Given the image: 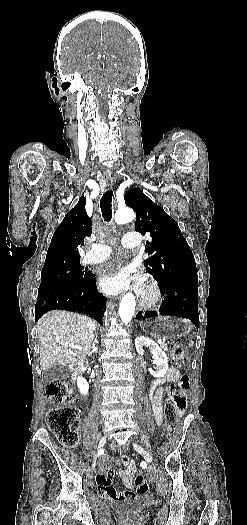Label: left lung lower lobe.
I'll return each instance as SVG.
<instances>
[{"label": "left lung lower lobe", "mask_w": 247, "mask_h": 525, "mask_svg": "<svg viewBox=\"0 0 247 525\" xmlns=\"http://www.w3.org/2000/svg\"><path fill=\"white\" fill-rule=\"evenodd\" d=\"M161 293L164 296L162 306L160 308V315H174L188 318L192 323L199 327L198 315V289L197 286L188 284L177 285H159ZM157 313H145L143 318H150L156 316ZM142 314H138L137 319L141 318Z\"/></svg>", "instance_id": "0a47b994"}]
</instances>
